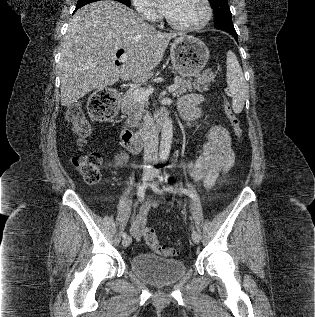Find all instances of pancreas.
<instances>
[{"mask_svg": "<svg viewBox=\"0 0 315 317\" xmlns=\"http://www.w3.org/2000/svg\"><path fill=\"white\" fill-rule=\"evenodd\" d=\"M215 81V74L205 72L202 75H196L195 80L191 78L184 79L183 77L177 78V89L174 91L173 96L179 97L180 95L186 93L187 91L198 90L206 91L210 83ZM134 89H130L125 94V101L129 106L128 111H124L127 115V124L131 126H137L142 114L145 112V106L148 104V99L138 101L134 96ZM141 90H146L145 87H140Z\"/></svg>", "mask_w": 315, "mask_h": 317, "instance_id": "cf45deb5", "label": "pancreas"}]
</instances>
